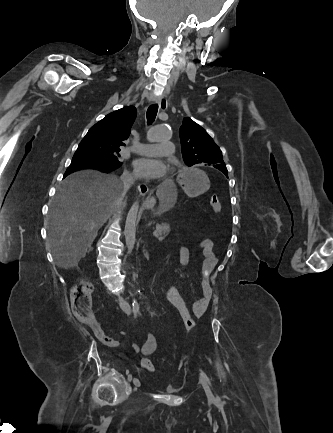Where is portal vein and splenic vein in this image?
Instances as JSON below:
<instances>
[{
  "label": "portal vein and splenic vein",
  "instance_id": "portal-vein-and-splenic-vein-1",
  "mask_svg": "<svg viewBox=\"0 0 333 433\" xmlns=\"http://www.w3.org/2000/svg\"><path fill=\"white\" fill-rule=\"evenodd\" d=\"M153 234H154V236L157 237V239H158L159 241H162V240H163V237H159V236L156 234V232H154Z\"/></svg>",
  "mask_w": 333,
  "mask_h": 433
}]
</instances>
